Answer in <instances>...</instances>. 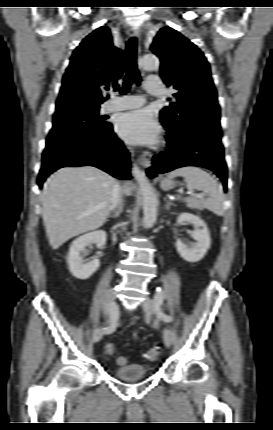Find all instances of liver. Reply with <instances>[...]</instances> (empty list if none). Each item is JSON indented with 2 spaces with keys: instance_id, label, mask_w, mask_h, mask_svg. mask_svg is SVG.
<instances>
[{
  "instance_id": "1",
  "label": "liver",
  "mask_w": 273,
  "mask_h": 430,
  "mask_svg": "<svg viewBox=\"0 0 273 430\" xmlns=\"http://www.w3.org/2000/svg\"><path fill=\"white\" fill-rule=\"evenodd\" d=\"M115 183L111 175L90 165L64 167L47 179L41 194L42 217L53 249L105 223ZM123 190L130 195L131 183Z\"/></svg>"
}]
</instances>
